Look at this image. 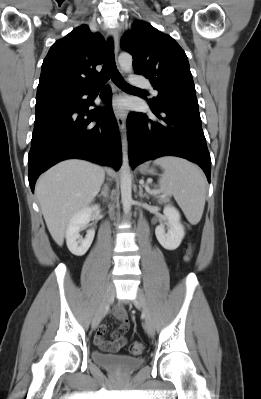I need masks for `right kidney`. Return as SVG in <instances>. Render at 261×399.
<instances>
[{"mask_svg": "<svg viewBox=\"0 0 261 399\" xmlns=\"http://www.w3.org/2000/svg\"><path fill=\"white\" fill-rule=\"evenodd\" d=\"M99 205L85 207L76 212L69 220L66 229V243L70 252L76 256H83L92 244L95 231L88 230L83 239L79 232L86 228L93 212L99 210Z\"/></svg>", "mask_w": 261, "mask_h": 399, "instance_id": "right-kidney-1", "label": "right kidney"}]
</instances>
